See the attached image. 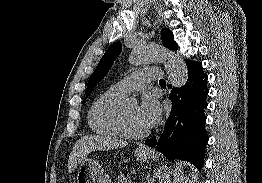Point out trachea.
<instances>
[{
    "mask_svg": "<svg viewBox=\"0 0 262 183\" xmlns=\"http://www.w3.org/2000/svg\"><path fill=\"white\" fill-rule=\"evenodd\" d=\"M159 84H160V85H166V82H165L164 79H160Z\"/></svg>",
    "mask_w": 262,
    "mask_h": 183,
    "instance_id": "3493384b",
    "label": "trachea"
}]
</instances>
